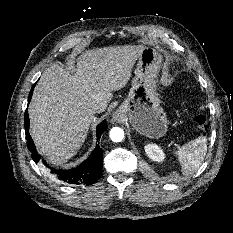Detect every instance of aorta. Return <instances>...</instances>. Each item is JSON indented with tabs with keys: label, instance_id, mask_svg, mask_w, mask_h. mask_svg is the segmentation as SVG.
Wrapping results in <instances>:
<instances>
[{
	"label": "aorta",
	"instance_id": "obj_1",
	"mask_svg": "<svg viewBox=\"0 0 233 233\" xmlns=\"http://www.w3.org/2000/svg\"><path fill=\"white\" fill-rule=\"evenodd\" d=\"M110 138L114 142H121L124 139V131L119 127H114L110 130Z\"/></svg>",
	"mask_w": 233,
	"mask_h": 233
}]
</instances>
